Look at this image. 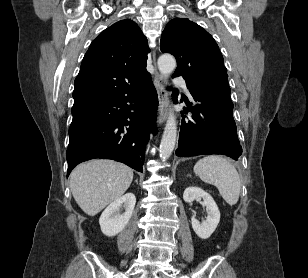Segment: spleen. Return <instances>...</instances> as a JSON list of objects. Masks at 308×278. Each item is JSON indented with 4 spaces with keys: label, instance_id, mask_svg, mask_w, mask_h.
Here are the masks:
<instances>
[{
    "label": "spleen",
    "instance_id": "1",
    "mask_svg": "<svg viewBox=\"0 0 308 278\" xmlns=\"http://www.w3.org/2000/svg\"><path fill=\"white\" fill-rule=\"evenodd\" d=\"M194 172L203 182L216 186L227 204L233 206L238 202L241 180L228 159L217 155L206 156L195 164Z\"/></svg>",
    "mask_w": 308,
    "mask_h": 278
}]
</instances>
